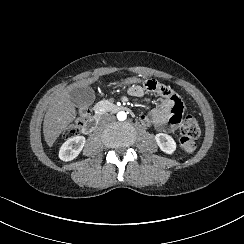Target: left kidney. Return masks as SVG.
<instances>
[{
	"label": "left kidney",
	"mask_w": 244,
	"mask_h": 244,
	"mask_svg": "<svg viewBox=\"0 0 244 244\" xmlns=\"http://www.w3.org/2000/svg\"><path fill=\"white\" fill-rule=\"evenodd\" d=\"M155 139L163 152L172 154L176 150V143L170 135L165 133H158L156 134Z\"/></svg>",
	"instance_id": "5707ae66"
}]
</instances>
